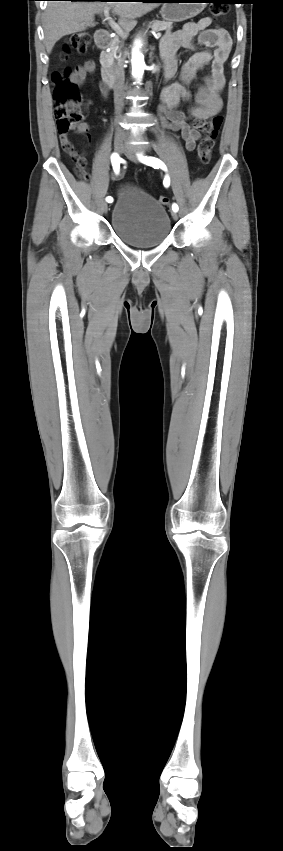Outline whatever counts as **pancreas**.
<instances>
[{"mask_svg": "<svg viewBox=\"0 0 283 851\" xmlns=\"http://www.w3.org/2000/svg\"><path fill=\"white\" fill-rule=\"evenodd\" d=\"M151 28H152L153 31H156V32L166 31V33H170V31L172 29V23L171 22H165V21H154ZM120 43L121 42L117 39L112 41L111 46H110V49H111L110 52L104 53L100 57V62L102 64V66H112L114 64L115 60L120 59V57L117 56V54L121 52V48L119 46Z\"/></svg>", "mask_w": 283, "mask_h": 851, "instance_id": "pancreas-1", "label": "pancreas"}]
</instances>
